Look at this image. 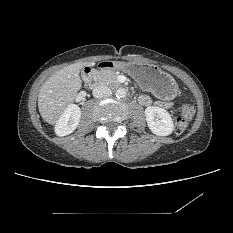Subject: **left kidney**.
<instances>
[{
    "label": "left kidney",
    "instance_id": "obj_1",
    "mask_svg": "<svg viewBox=\"0 0 233 233\" xmlns=\"http://www.w3.org/2000/svg\"><path fill=\"white\" fill-rule=\"evenodd\" d=\"M149 129L158 136H168L173 132L174 124L171 115L163 108L149 106L145 109Z\"/></svg>",
    "mask_w": 233,
    "mask_h": 233
}]
</instances>
